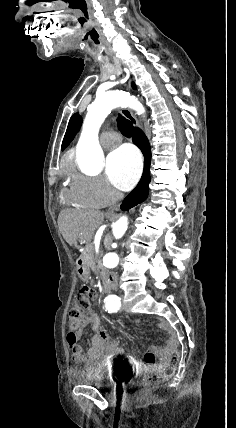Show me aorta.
<instances>
[{"label":"aorta","instance_id":"1","mask_svg":"<svg viewBox=\"0 0 236 428\" xmlns=\"http://www.w3.org/2000/svg\"><path fill=\"white\" fill-rule=\"evenodd\" d=\"M123 106H128L139 114L144 112L142 104L134 96H130L124 91H109L99 94L88 106L76 149L77 160L86 171L95 172L102 167L104 156L98 140L99 129L112 109ZM127 228L128 218L122 216L112 225L114 237L120 239ZM119 262L120 258L115 252H108L103 258L104 266L108 268H115Z\"/></svg>","mask_w":236,"mask_h":428}]
</instances>
